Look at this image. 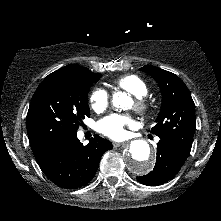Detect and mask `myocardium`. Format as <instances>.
I'll use <instances>...</instances> for the list:
<instances>
[{
	"label": "myocardium",
	"mask_w": 221,
	"mask_h": 221,
	"mask_svg": "<svg viewBox=\"0 0 221 221\" xmlns=\"http://www.w3.org/2000/svg\"><path fill=\"white\" fill-rule=\"evenodd\" d=\"M134 108L138 113L144 115L149 111V104L142 98H136Z\"/></svg>",
	"instance_id": "myocardium-1"
}]
</instances>
